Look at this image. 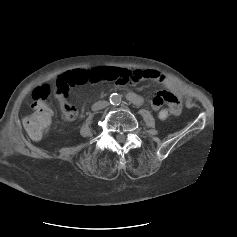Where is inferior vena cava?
<instances>
[{
  "label": "inferior vena cava",
  "mask_w": 237,
  "mask_h": 237,
  "mask_svg": "<svg viewBox=\"0 0 237 237\" xmlns=\"http://www.w3.org/2000/svg\"><path fill=\"white\" fill-rule=\"evenodd\" d=\"M109 105L108 101H98L92 105V110L93 111H98L101 110Z\"/></svg>",
  "instance_id": "602c4592"
}]
</instances>
